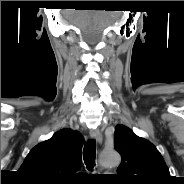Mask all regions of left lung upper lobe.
Listing matches in <instances>:
<instances>
[{
    "label": "left lung upper lobe",
    "mask_w": 184,
    "mask_h": 184,
    "mask_svg": "<svg viewBox=\"0 0 184 184\" xmlns=\"http://www.w3.org/2000/svg\"><path fill=\"white\" fill-rule=\"evenodd\" d=\"M114 146L122 157L114 175L118 181L123 184H171L168 167L148 140L119 124L115 127Z\"/></svg>",
    "instance_id": "1"
}]
</instances>
